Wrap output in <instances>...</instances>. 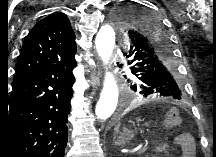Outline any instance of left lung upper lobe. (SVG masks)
Returning a JSON list of instances; mask_svg holds the SVG:
<instances>
[{"mask_svg": "<svg viewBox=\"0 0 216 157\" xmlns=\"http://www.w3.org/2000/svg\"><path fill=\"white\" fill-rule=\"evenodd\" d=\"M110 19L121 34L123 55L139 82L132 88L144 96L182 100L185 92L162 19L135 2L114 9Z\"/></svg>", "mask_w": 216, "mask_h": 157, "instance_id": "obj_1", "label": "left lung upper lobe"}]
</instances>
